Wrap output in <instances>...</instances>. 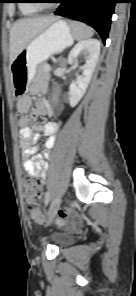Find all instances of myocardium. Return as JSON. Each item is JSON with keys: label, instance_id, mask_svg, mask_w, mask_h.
Listing matches in <instances>:
<instances>
[{"label": "myocardium", "instance_id": "1", "mask_svg": "<svg viewBox=\"0 0 136 296\" xmlns=\"http://www.w3.org/2000/svg\"><path fill=\"white\" fill-rule=\"evenodd\" d=\"M33 1V5L35 7L39 8H47L49 6L48 3H44L45 0H32Z\"/></svg>", "mask_w": 136, "mask_h": 296}]
</instances>
